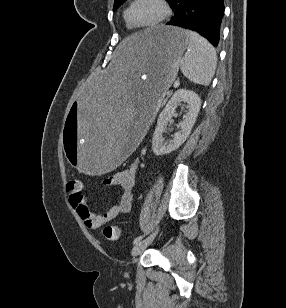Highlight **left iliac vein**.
<instances>
[{
	"label": "left iliac vein",
	"mask_w": 286,
	"mask_h": 308,
	"mask_svg": "<svg viewBox=\"0 0 286 308\" xmlns=\"http://www.w3.org/2000/svg\"><path fill=\"white\" fill-rule=\"evenodd\" d=\"M156 235H157V230L151 233L145 239L137 242L132 249V256L137 257L138 255H140L152 243Z\"/></svg>",
	"instance_id": "4c4485c4"
}]
</instances>
